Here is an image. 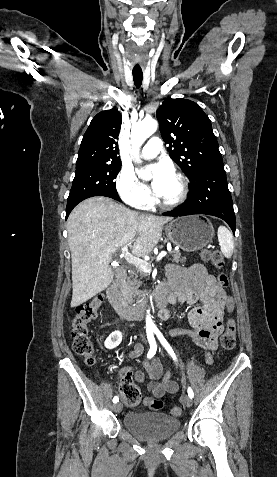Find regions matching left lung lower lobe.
I'll use <instances>...</instances> for the list:
<instances>
[{"instance_id": "left-lung-lower-lobe-1", "label": "left lung lower lobe", "mask_w": 277, "mask_h": 477, "mask_svg": "<svg viewBox=\"0 0 277 477\" xmlns=\"http://www.w3.org/2000/svg\"><path fill=\"white\" fill-rule=\"evenodd\" d=\"M207 214L226 221L235 234V214L227 187L223 162L207 165L190 182V198L180 209L163 213L165 216Z\"/></svg>"}]
</instances>
